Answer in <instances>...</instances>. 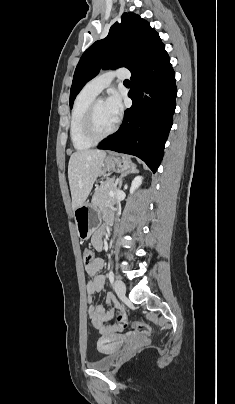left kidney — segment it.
<instances>
[{
    "instance_id": "5707ae66",
    "label": "left kidney",
    "mask_w": 235,
    "mask_h": 404,
    "mask_svg": "<svg viewBox=\"0 0 235 404\" xmlns=\"http://www.w3.org/2000/svg\"><path fill=\"white\" fill-rule=\"evenodd\" d=\"M143 177L142 176H136L132 183H131V188H130V193L132 194L141 184H142Z\"/></svg>"
}]
</instances>
